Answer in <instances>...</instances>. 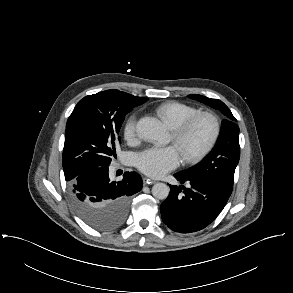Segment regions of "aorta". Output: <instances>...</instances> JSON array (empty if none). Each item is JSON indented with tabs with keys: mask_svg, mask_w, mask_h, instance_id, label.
Masks as SVG:
<instances>
[{
	"mask_svg": "<svg viewBox=\"0 0 293 293\" xmlns=\"http://www.w3.org/2000/svg\"><path fill=\"white\" fill-rule=\"evenodd\" d=\"M138 134L154 144H163L167 140V131L164 125L154 117H143L136 125ZM170 188L165 183H156L152 187V195L160 200L168 197Z\"/></svg>",
	"mask_w": 293,
	"mask_h": 293,
	"instance_id": "1",
	"label": "aorta"
}]
</instances>
